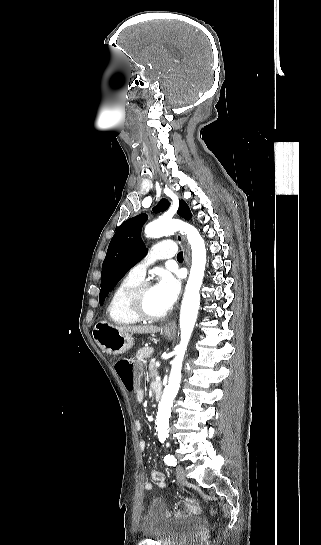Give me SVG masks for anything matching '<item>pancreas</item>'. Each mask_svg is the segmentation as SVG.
I'll list each match as a JSON object with an SVG mask.
<instances>
[{
    "label": "pancreas",
    "instance_id": "obj_1",
    "mask_svg": "<svg viewBox=\"0 0 321 545\" xmlns=\"http://www.w3.org/2000/svg\"><path fill=\"white\" fill-rule=\"evenodd\" d=\"M149 377L150 379H154V377H159L156 363H149Z\"/></svg>",
    "mask_w": 321,
    "mask_h": 545
}]
</instances>
